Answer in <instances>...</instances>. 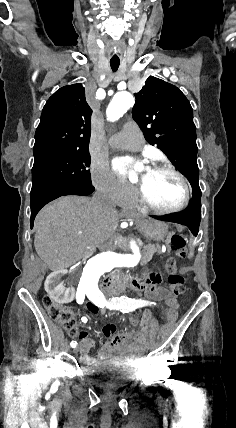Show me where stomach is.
Wrapping results in <instances>:
<instances>
[{
  "label": "stomach",
  "mask_w": 236,
  "mask_h": 428,
  "mask_svg": "<svg viewBox=\"0 0 236 428\" xmlns=\"http://www.w3.org/2000/svg\"><path fill=\"white\" fill-rule=\"evenodd\" d=\"M142 232L146 238H151V240H164L165 236H167L168 228L164 222L151 220V222H146Z\"/></svg>",
  "instance_id": "1"
}]
</instances>
